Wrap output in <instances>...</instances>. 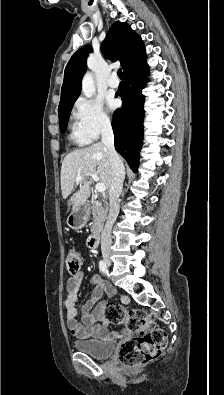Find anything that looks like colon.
<instances>
[{
  "mask_svg": "<svg viewBox=\"0 0 224 395\" xmlns=\"http://www.w3.org/2000/svg\"><path fill=\"white\" fill-rule=\"evenodd\" d=\"M68 271L72 274L79 272L82 265V255L71 249L66 255ZM107 321L116 325H124L136 336L123 342L117 352L118 360L124 365L138 367L159 357L167 341L166 333L157 327L145 312L139 309H126L117 303H107L104 309Z\"/></svg>",
  "mask_w": 224,
  "mask_h": 395,
  "instance_id": "obj_1",
  "label": "colon"
}]
</instances>
